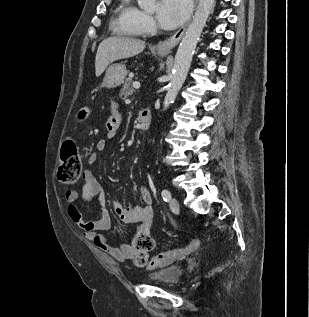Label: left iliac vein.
Segmentation results:
<instances>
[{"instance_id": "left-iliac-vein-1", "label": "left iliac vein", "mask_w": 309, "mask_h": 317, "mask_svg": "<svg viewBox=\"0 0 309 317\" xmlns=\"http://www.w3.org/2000/svg\"><path fill=\"white\" fill-rule=\"evenodd\" d=\"M169 206L170 209L175 212L178 213L179 212V202L175 197H172L169 201Z\"/></svg>"}]
</instances>
